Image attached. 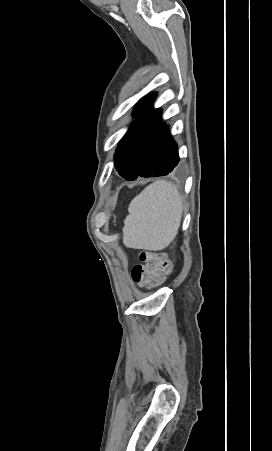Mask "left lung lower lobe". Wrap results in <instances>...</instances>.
I'll list each match as a JSON object with an SVG mask.
<instances>
[{
    "mask_svg": "<svg viewBox=\"0 0 272 451\" xmlns=\"http://www.w3.org/2000/svg\"><path fill=\"white\" fill-rule=\"evenodd\" d=\"M178 163L177 144L169 134V127L161 122L153 136L138 175L125 179L133 181L138 177L164 176L172 172Z\"/></svg>",
    "mask_w": 272,
    "mask_h": 451,
    "instance_id": "left-lung-lower-lobe-1",
    "label": "left lung lower lobe"
}]
</instances>
